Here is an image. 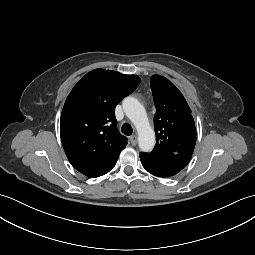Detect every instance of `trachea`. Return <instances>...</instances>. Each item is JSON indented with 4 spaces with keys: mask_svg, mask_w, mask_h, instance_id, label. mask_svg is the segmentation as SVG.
I'll use <instances>...</instances> for the list:
<instances>
[{
    "mask_svg": "<svg viewBox=\"0 0 255 255\" xmlns=\"http://www.w3.org/2000/svg\"><path fill=\"white\" fill-rule=\"evenodd\" d=\"M121 131H122L123 134L129 136V135L132 134L133 129H132V126L129 123H124L122 125Z\"/></svg>",
    "mask_w": 255,
    "mask_h": 255,
    "instance_id": "trachea-1",
    "label": "trachea"
}]
</instances>
